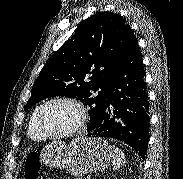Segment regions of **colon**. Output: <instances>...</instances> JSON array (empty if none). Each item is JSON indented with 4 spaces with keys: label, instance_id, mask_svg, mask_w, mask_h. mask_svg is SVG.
<instances>
[{
    "label": "colon",
    "instance_id": "5ec220e1",
    "mask_svg": "<svg viewBox=\"0 0 183 179\" xmlns=\"http://www.w3.org/2000/svg\"><path fill=\"white\" fill-rule=\"evenodd\" d=\"M40 163L37 153L31 152L26 160L25 177L26 179H41L39 175Z\"/></svg>",
    "mask_w": 183,
    "mask_h": 179
}]
</instances>
